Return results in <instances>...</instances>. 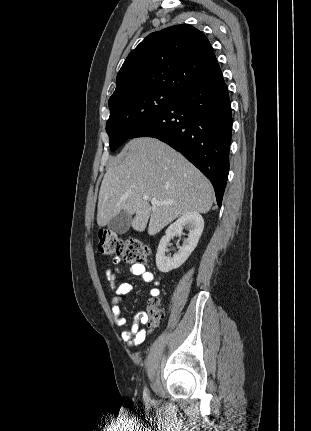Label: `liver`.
I'll use <instances>...</instances> for the list:
<instances>
[{
	"mask_svg": "<svg viewBox=\"0 0 311 431\" xmlns=\"http://www.w3.org/2000/svg\"><path fill=\"white\" fill-rule=\"evenodd\" d=\"M123 162L109 166L102 180L97 223L104 227L119 212L134 216L131 225L155 235L176 217L187 212L207 214L213 204V188L182 154L155 140L135 138L122 150ZM143 196L171 202L153 206Z\"/></svg>",
	"mask_w": 311,
	"mask_h": 431,
	"instance_id": "6515ba94",
	"label": "liver"
}]
</instances>
